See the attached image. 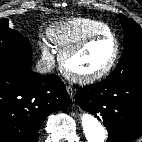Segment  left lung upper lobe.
<instances>
[{
  "instance_id": "1",
  "label": "left lung upper lobe",
  "mask_w": 142,
  "mask_h": 142,
  "mask_svg": "<svg viewBox=\"0 0 142 142\" xmlns=\"http://www.w3.org/2000/svg\"><path fill=\"white\" fill-rule=\"evenodd\" d=\"M124 29V50L119 63L107 77L110 79L142 74V29L126 16L119 14Z\"/></svg>"
}]
</instances>
